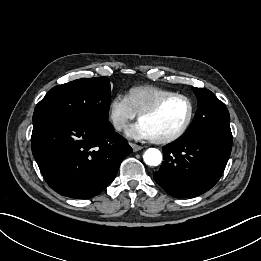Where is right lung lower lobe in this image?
I'll use <instances>...</instances> for the list:
<instances>
[{
    "label": "right lung lower lobe",
    "instance_id": "1",
    "mask_svg": "<svg viewBox=\"0 0 261 261\" xmlns=\"http://www.w3.org/2000/svg\"><path fill=\"white\" fill-rule=\"evenodd\" d=\"M33 156L47 184L76 199L98 195L132 152L127 140L77 116L34 112Z\"/></svg>",
    "mask_w": 261,
    "mask_h": 261
}]
</instances>
